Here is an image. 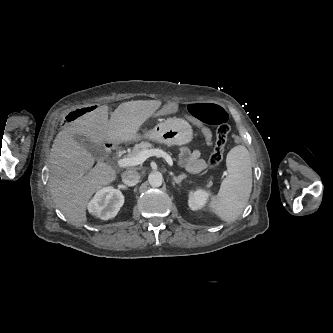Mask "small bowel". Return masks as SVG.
<instances>
[{"instance_id": "c3829d8e", "label": "small bowel", "mask_w": 333, "mask_h": 333, "mask_svg": "<svg viewBox=\"0 0 333 333\" xmlns=\"http://www.w3.org/2000/svg\"><path fill=\"white\" fill-rule=\"evenodd\" d=\"M178 110V105L175 102H169L164 106H158L155 109V114L158 117H167L171 113H175ZM186 120L192 123L196 128H201L202 137L205 142L206 148H212L213 142L210 140V135L207 125H202V122L193 114H187ZM181 161L184 163L186 169L191 173H199L205 169V162L200 157V153L197 150L190 151L188 149H182L180 152Z\"/></svg>"}]
</instances>
